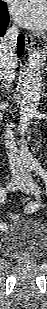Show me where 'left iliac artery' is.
Listing matches in <instances>:
<instances>
[{
    "instance_id": "1",
    "label": "left iliac artery",
    "mask_w": 47,
    "mask_h": 309,
    "mask_svg": "<svg viewBox=\"0 0 47 309\" xmlns=\"http://www.w3.org/2000/svg\"><path fill=\"white\" fill-rule=\"evenodd\" d=\"M30 167H31V169L35 170L36 173L39 174L44 180L47 179V173L45 172V170L40 166V164L37 161H33ZM36 187H37V185H36ZM37 191H39L38 187H37ZM40 206H41L40 202L31 203L30 205H28L27 209H28V211L34 212Z\"/></svg>"
}]
</instances>
